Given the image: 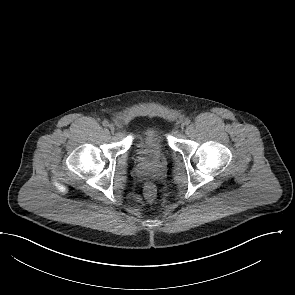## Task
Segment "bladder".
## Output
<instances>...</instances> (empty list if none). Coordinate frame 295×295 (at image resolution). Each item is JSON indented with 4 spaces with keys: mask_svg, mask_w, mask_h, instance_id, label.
Masks as SVG:
<instances>
[{
    "mask_svg": "<svg viewBox=\"0 0 295 295\" xmlns=\"http://www.w3.org/2000/svg\"><path fill=\"white\" fill-rule=\"evenodd\" d=\"M166 150L163 129L157 124H148L138 130L133 137V153L142 162L160 159Z\"/></svg>",
    "mask_w": 295,
    "mask_h": 295,
    "instance_id": "31cf9c89",
    "label": "bladder"
}]
</instances>
